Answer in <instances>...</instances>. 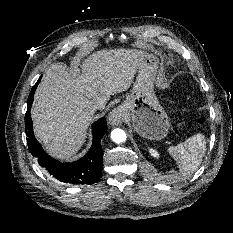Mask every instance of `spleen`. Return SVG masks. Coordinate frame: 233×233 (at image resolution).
<instances>
[{
    "mask_svg": "<svg viewBox=\"0 0 233 233\" xmlns=\"http://www.w3.org/2000/svg\"><path fill=\"white\" fill-rule=\"evenodd\" d=\"M206 151V141L202 134H195L184 142L168 148L183 177L193 174L202 162Z\"/></svg>",
    "mask_w": 233,
    "mask_h": 233,
    "instance_id": "1",
    "label": "spleen"
}]
</instances>
